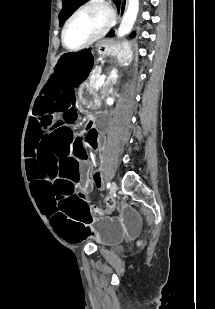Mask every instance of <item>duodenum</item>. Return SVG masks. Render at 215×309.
Returning a JSON list of instances; mask_svg holds the SVG:
<instances>
[{"label":"duodenum","instance_id":"duodenum-1","mask_svg":"<svg viewBox=\"0 0 215 309\" xmlns=\"http://www.w3.org/2000/svg\"><path fill=\"white\" fill-rule=\"evenodd\" d=\"M96 120H97V118H96V117H94V118L92 119V122H96Z\"/></svg>","mask_w":215,"mask_h":309}]
</instances>
